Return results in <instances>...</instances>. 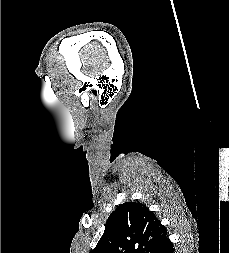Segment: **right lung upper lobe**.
I'll list each match as a JSON object with an SVG mask.
<instances>
[{"label": "right lung upper lobe", "mask_w": 229, "mask_h": 253, "mask_svg": "<svg viewBox=\"0 0 229 253\" xmlns=\"http://www.w3.org/2000/svg\"><path fill=\"white\" fill-rule=\"evenodd\" d=\"M169 242L166 228L139 202L117 206L91 253H157Z\"/></svg>", "instance_id": "1"}]
</instances>
